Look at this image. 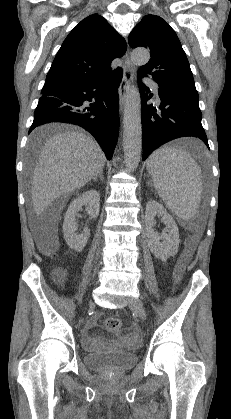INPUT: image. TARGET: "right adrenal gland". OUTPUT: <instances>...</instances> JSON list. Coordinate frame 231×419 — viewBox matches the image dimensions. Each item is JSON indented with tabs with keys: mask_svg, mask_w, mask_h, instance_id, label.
I'll return each instance as SVG.
<instances>
[{
	"mask_svg": "<svg viewBox=\"0 0 231 419\" xmlns=\"http://www.w3.org/2000/svg\"><path fill=\"white\" fill-rule=\"evenodd\" d=\"M98 178H100L101 181L104 180L103 171L99 172V174L96 177H94L93 181L96 182Z\"/></svg>",
	"mask_w": 231,
	"mask_h": 419,
	"instance_id": "1",
	"label": "right adrenal gland"
}]
</instances>
